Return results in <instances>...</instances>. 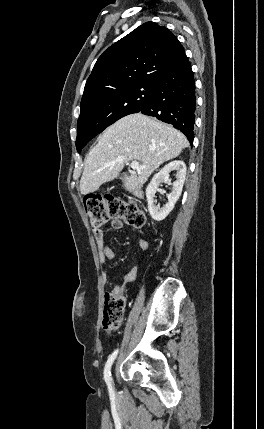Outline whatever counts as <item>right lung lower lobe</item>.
<instances>
[{"instance_id": "right-lung-lower-lobe-1", "label": "right lung lower lobe", "mask_w": 264, "mask_h": 429, "mask_svg": "<svg viewBox=\"0 0 264 429\" xmlns=\"http://www.w3.org/2000/svg\"><path fill=\"white\" fill-rule=\"evenodd\" d=\"M195 82L184 54L156 83L149 100L139 111L172 124L193 144L195 123Z\"/></svg>"}]
</instances>
